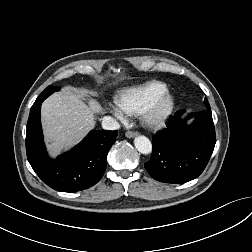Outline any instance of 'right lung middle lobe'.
Instances as JSON below:
<instances>
[{
    "instance_id": "right-lung-middle-lobe-1",
    "label": "right lung middle lobe",
    "mask_w": 252,
    "mask_h": 252,
    "mask_svg": "<svg viewBox=\"0 0 252 252\" xmlns=\"http://www.w3.org/2000/svg\"><path fill=\"white\" fill-rule=\"evenodd\" d=\"M59 87L56 86H48L36 99V101L38 100H44L45 98H47L49 95H51L53 92L58 91Z\"/></svg>"
}]
</instances>
